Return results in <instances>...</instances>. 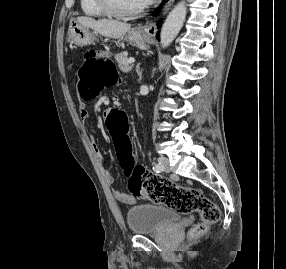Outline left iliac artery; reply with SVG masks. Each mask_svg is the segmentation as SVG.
<instances>
[{
	"label": "left iliac artery",
	"instance_id": "1",
	"mask_svg": "<svg viewBox=\"0 0 286 269\" xmlns=\"http://www.w3.org/2000/svg\"><path fill=\"white\" fill-rule=\"evenodd\" d=\"M153 170L156 171V172H160V171H163L164 170V167L163 165H161L160 163L156 164L154 167H153Z\"/></svg>",
	"mask_w": 286,
	"mask_h": 269
}]
</instances>
